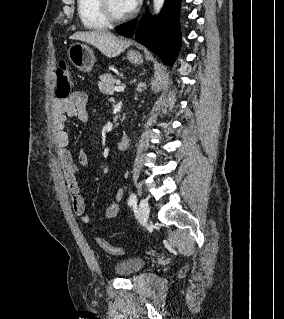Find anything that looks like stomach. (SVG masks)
I'll use <instances>...</instances> for the list:
<instances>
[{
	"label": "stomach",
	"mask_w": 284,
	"mask_h": 319,
	"mask_svg": "<svg viewBox=\"0 0 284 319\" xmlns=\"http://www.w3.org/2000/svg\"><path fill=\"white\" fill-rule=\"evenodd\" d=\"M68 57L71 63L82 72H90L95 61L92 49L82 43H73L68 49ZM127 59L134 65L143 63V57L140 53L129 52Z\"/></svg>",
	"instance_id": "1"
}]
</instances>
